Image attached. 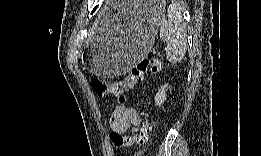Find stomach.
<instances>
[{
	"label": "stomach",
	"instance_id": "stomach-1",
	"mask_svg": "<svg viewBox=\"0 0 261 156\" xmlns=\"http://www.w3.org/2000/svg\"><path fill=\"white\" fill-rule=\"evenodd\" d=\"M162 14L155 3H144L128 22L107 32L98 29L83 55L90 70L103 77L129 71L151 50Z\"/></svg>",
	"mask_w": 261,
	"mask_h": 156
}]
</instances>
